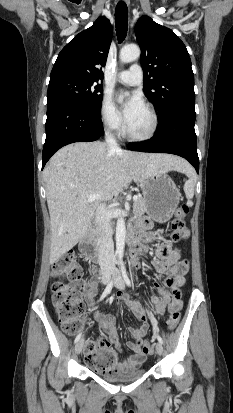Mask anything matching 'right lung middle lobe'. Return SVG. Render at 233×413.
Instances as JSON below:
<instances>
[{"instance_id":"obj_1","label":"right lung middle lobe","mask_w":233,"mask_h":413,"mask_svg":"<svg viewBox=\"0 0 233 413\" xmlns=\"http://www.w3.org/2000/svg\"><path fill=\"white\" fill-rule=\"evenodd\" d=\"M102 86L80 78H62L50 81L47 104L71 102L94 113H101Z\"/></svg>"}]
</instances>
